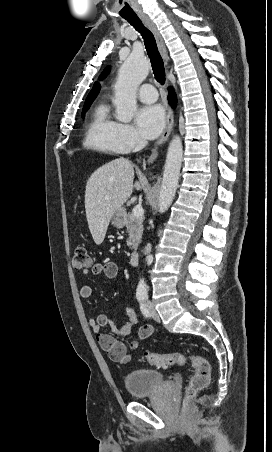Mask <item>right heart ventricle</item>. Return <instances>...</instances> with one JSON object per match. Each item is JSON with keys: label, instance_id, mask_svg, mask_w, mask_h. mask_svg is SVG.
I'll use <instances>...</instances> for the list:
<instances>
[{"label": "right heart ventricle", "instance_id": "right-heart-ventricle-1", "mask_svg": "<svg viewBox=\"0 0 272 452\" xmlns=\"http://www.w3.org/2000/svg\"><path fill=\"white\" fill-rule=\"evenodd\" d=\"M120 124L113 120L109 109L100 103L93 111L85 131L84 145L88 148L108 153H122L117 132Z\"/></svg>", "mask_w": 272, "mask_h": 452}]
</instances>
